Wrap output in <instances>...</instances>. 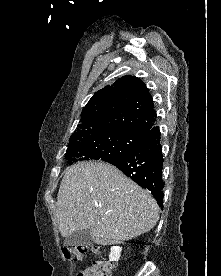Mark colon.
I'll return each mask as SVG.
<instances>
[{
	"label": "colon",
	"mask_w": 221,
	"mask_h": 276,
	"mask_svg": "<svg viewBox=\"0 0 221 276\" xmlns=\"http://www.w3.org/2000/svg\"><path fill=\"white\" fill-rule=\"evenodd\" d=\"M87 250V246H68L63 248V255L69 261H80ZM94 250L98 251L97 248H94ZM115 266L116 262L114 261L94 260L77 276H111V271Z\"/></svg>",
	"instance_id": "colon-1"
}]
</instances>
